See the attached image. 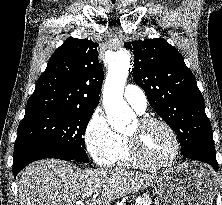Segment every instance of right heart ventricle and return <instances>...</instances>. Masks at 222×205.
<instances>
[{"instance_id": "obj_1", "label": "right heart ventricle", "mask_w": 222, "mask_h": 205, "mask_svg": "<svg viewBox=\"0 0 222 205\" xmlns=\"http://www.w3.org/2000/svg\"><path fill=\"white\" fill-rule=\"evenodd\" d=\"M109 165L138 166L132 158L129 150V143L125 135H120L118 148L111 158Z\"/></svg>"}]
</instances>
